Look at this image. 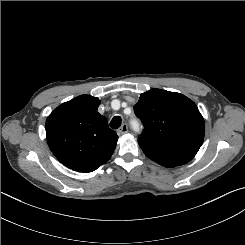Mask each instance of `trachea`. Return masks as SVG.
Returning a JSON list of instances; mask_svg holds the SVG:
<instances>
[{
  "label": "trachea",
  "mask_w": 245,
  "mask_h": 245,
  "mask_svg": "<svg viewBox=\"0 0 245 245\" xmlns=\"http://www.w3.org/2000/svg\"><path fill=\"white\" fill-rule=\"evenodd\" d=\"M122 119L120 116H115L111 122L110 127L113 129H118L121 126Z\"/></svg>",
  "instance_id": "3493384b"
}]
</instances>
